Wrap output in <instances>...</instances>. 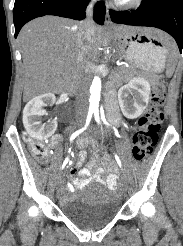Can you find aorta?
I'll return each instance as SVG.
<instances>
[{"mask_svg":"<svg viewBox=\"0 0 183 246\" xmlns=\"http://www.w3.org/2000/svg\"><path fill=\"white\" fill-rule=\"evenodd\" d=\"M101 93V79L95 76L90 87V109L95 111L99 108Z\"/></svg>","mask_w":183,"mask_h":246,"instance_id":"obj_1","label":"aorta"}]
</instances>
